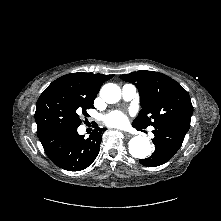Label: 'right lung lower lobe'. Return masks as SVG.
Listing matches in <instances>:
<instances>
[{"label":"right lung lower lobe","mask_w":221,"mask_h":221,"mask_svg":"<svg viewBox=\"0 0 221 221\" xmlns=\"http://www.w3.org/2000/svg\"><path fill=\"white\" fill-rule=\"evenodd\" d=\"M102 130L96 128L87 139L78 134L77 128L58 130L40 138V141L55 165L68 171H81L96 159Z\"/></svg>","instance_id":"right-lung-lower-lobe-1"}]
</instances>
